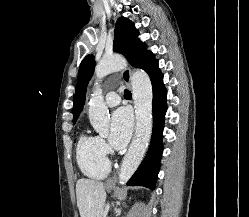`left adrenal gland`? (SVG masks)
I'll use <instances>...</instances> for the list:
<instances>
[{"label":"left adrenal gland","mask_w":249,"mask_h":217,"mask_svg":"<svg viewBox=\"0 0 249 217\" xmlns=\"http://www.w3.org/2000/svg\"><path fill=\"white\" fill-rule=\"evenodd\" d=\"M117 216L120 215L121 209L116 210Z\"/></svg>","instance_id":"a2214340"}]
</instances>
